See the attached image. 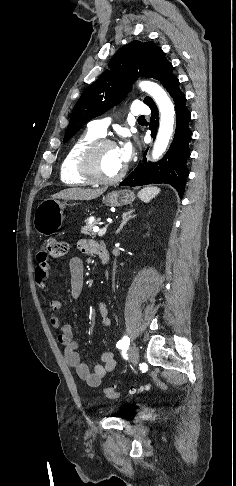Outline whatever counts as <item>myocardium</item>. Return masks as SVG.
Segmentation results:
<instances>
[{
  "label": "myocardium",
  "instance_id": "obj_1",
  "mask_svg": "<svg viewBox=\"0 0 236 486\" xmlns=\"http://www.w3.org/2000/svg\"><path fill=\"white\" fill-rule=\"evenodd\" d=\"M105 146H117L113 140L107 138H98L89 143L81 152L78 169L80 174L91 183L96 184H114L119 182L127 172V167L124 166L120 173L113 177L102 176L97 169V154L99 150Z\"/></svg>",
  "mask_w": 236,
  "mask_h": 486
}]
</instances>
